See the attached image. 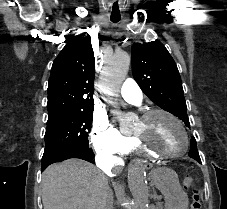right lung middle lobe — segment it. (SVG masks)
Wrapping results in <instances>:
<instances>
[{
  "instance_id": "obj_1",
  "label": "right lung middle lobe",
  "mask_w": 227,
  "mask_h": 209,
  "mask_svg": "<svg viewBox=\"0 0 227 209\" xmlns=\"http://www.w3.org/2000/svg\"><path fill=\"white\" fill-rule=\"evenodd\" d=\"M93 108V99L86 98L60 99L48 107L42 165L46 164V157L52 153L89 147Z\"/></svg>"
}]
</instances>
